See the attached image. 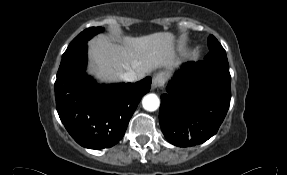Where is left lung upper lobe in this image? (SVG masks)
<instances>
[{"instance_id":"obj_1","label":"left lung upper lobe","mask_w":287,"mask_h":175,"mask_svg":"<svg viewBox=\"0 0 287 175\" xmlns=\"http://www.w3.org/2000/svg\"><path fill=\"white\" fill-rule=\"evenodd\" d=\"M208 47L210 52L205 56L204 60L218 62L229 66L224 48L213 35L208 37Z\"/></svg>"}]
</instances>
